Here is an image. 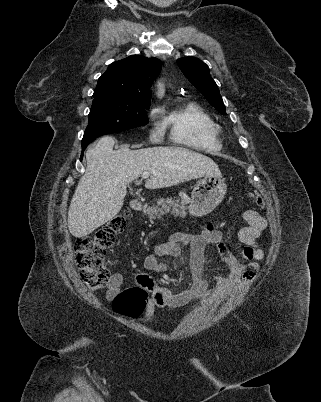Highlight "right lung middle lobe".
I'll return each instance as SVG.
<instances>
[{
  "instance_id": "right-lung-middle-lobe-1",
  "label": "right lung middle lobe",
  "mask_w": 321,
  "mask_h": 402,
  "mask_svg": "<svg viewBox=\"0 0 321 402\" xmlns=\"http://www.w3.org/2000/svg\"><path fill=\"white\" fill-rule=\"evenodd\" d=\"M89 124L83 140L146 125V109L150 103L134 102L106 94H93Z\"/></svg>"
}]
</instances>
